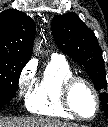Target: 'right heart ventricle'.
Segmentation results:
<instances>
[{
    "mask_svg": "<svg viewBox=\"0 0 108 127\" xmlns=\"http://www.w3.org/2000/svg\"><path fill=\"white\" fill-rule=\"evenodd\" d=\"M73 75L65 60L51 59L27 98L28 109L38 115L73 118L62 102L63 84Z\"/></svg>",
    "mask_w": 108,
    "mask_h": 127,
    "instance_id": "1",
    "label": "right heart ventricle"
}]
</instances>
